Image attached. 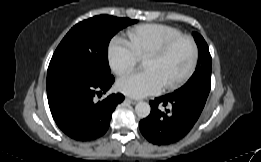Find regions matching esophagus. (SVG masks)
I'll use <instances>...</instances> for the list:
<instances>
[{"instance_id": "obj_1", "label": "esophagus", "mask_w": 261, "mask_h": 162, "mask_svg": "<svg viewBox=\"0 0 261 162\" xmlns=\"http://www.w3.org/2000/svg\"><path fill=\"white\" fill-rule=\"evenodd\" d=\"M125 100H127V101L131 102L132 104H136V103H137V101H136V100H133V99H131V98H128V97H126V98H125Z\"/></svg>"}]
</instances>
